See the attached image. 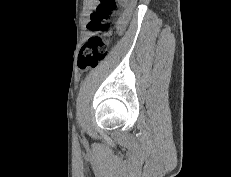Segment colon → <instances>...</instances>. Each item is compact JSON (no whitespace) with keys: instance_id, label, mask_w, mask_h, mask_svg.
<instances>
[{"instance_id":"colon-1","label":"colon","mask_w":231,"mask_h":177,"mask_svg":"<svg viewBox=\"0 0 231 177\" xmlns=\"http://www.w3.org/2000/svg\"><path fill=\"white\" fill-rule=\"evenodd\" d=\"M133 0H99V5L90 16L88 28L91 35L78 54V67L81 71L94 69L108 54L112 40L111 17L117 10L118 3L131 5Z\"/></svg>"}]
</instances>
